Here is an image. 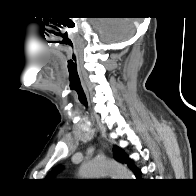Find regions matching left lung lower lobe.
Wrapping results in <instances>:
<instances>
[{"mask_svg": "<svg viewBox=\"0 0 196 196\" xmlns=\"http://www.w3.org/2000/svg\"><path fill=\"white\" fill-rule=\"evenodd\" d=\"M131 169L133 170L136 177L139 178L140 171L137 168H135L134 165L131 166Z\"/></svg>", "mask_w": 196, "mask_h": 196, "instance_id": "left-lung-lower-lobe-1", "label": "left lung lower lobe"}]
</instances>
